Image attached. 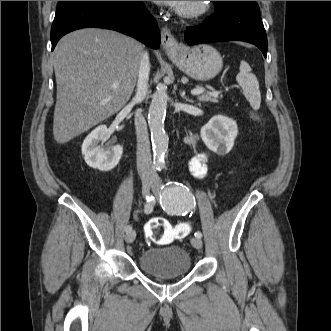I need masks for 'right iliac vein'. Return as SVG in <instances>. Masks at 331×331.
Listing matches in <instances>:
<instances>
[{"label": "right iliac vein", "mask_w": 331, "mask_h": 331, "mask_svg": "<svg viewBox=\"0 0 331 331\" xmlns=\"http://www.w3.org/2000/svg\"><path fill=\"white\" fill-rule=\"evenodd\" d=\"M153 182L149 179H143L142 181V194L143 196H147L149 194L150 188L152 187ZM136 238L135 231L131 230L125 236V241L127 243H132Z\"/></svg>", "instance_id": "obj_1"}]
</instances>
